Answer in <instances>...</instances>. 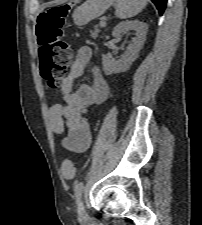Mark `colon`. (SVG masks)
Segmentation results:
<instances>
[{"label": "colon", "instance_id": "1", "mask_svg": "<svg viewBox=\"0 0 202 225\" xmlns=\"http://www.w3.org/2000/svg\"><path fill=\"white\" fill-rule=\"evenodd\" d=\"M65 6L49 8L36 18L35 35L41 57L40 73L51 90H57L71 64L69 44L62 40L65 24ZM61 174L65 179H75V167L71 160H64Z\"/></svg>", "mask_w": 202, "mask_h": 225}]
</instances>
